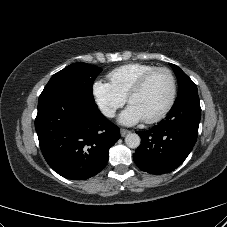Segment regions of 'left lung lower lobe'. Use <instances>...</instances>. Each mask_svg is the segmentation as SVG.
Returning a JSON list of instances; mask_svg holds the SVG:
<instances>
[{
  "label": "left lung lower lobe",
  "mask_w": 227,
  "mask_h": 227,
  "mask_svg": "<svg viewBox=\"0 0 227 227\" xmlns=\"http://www.w3.org/2000/svg\"><path fill=\"white\" fill-rule=\"evenodd\" d=\"M201 108L197 92L178 98L165 119L147 131H140L141 145L133 158L142 171L169 173L191 152L198 135Z\"/></svg>",
  "instance_id": "left-lung-lower-lobe-1"
}]
</instances>
